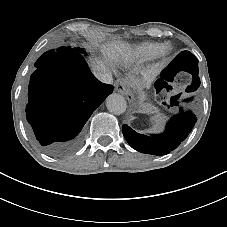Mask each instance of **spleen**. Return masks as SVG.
<instances>
[{
  "instance_id": "obj_1",
  "label": "spleen",
  "mask_w": 227,
  "mask_h": 227,
  "mask_svg": "<svg viewBox=\"0 0 227 227\" xmlns=\"http://www.w3.org/2000/svg\"><path fill=\"white\" fill-rule=\"evenodd\" d=\"M150 122L152 124V130L157 131V130H162L163 129V124H162V114H156L150 118Z\"/></svg>"
}]
</instances>
